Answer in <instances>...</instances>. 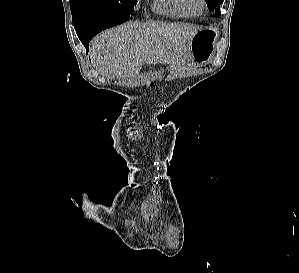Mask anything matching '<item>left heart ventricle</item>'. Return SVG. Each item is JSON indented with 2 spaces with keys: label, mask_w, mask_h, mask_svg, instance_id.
<instances>
[{
  "label": "left heart ventricle",
  "mask_w": 299,
  "mask_h": 273,
  "mask_svg": "<svg viewBox=\"0 0 299 273\" xmlns=\"http://www.w3.org/2000/svg\"><path fill=\"white\" fill-rule=\"evenodd\" d=\"M191 7L194 12H199L201 10V4L199 0H191Z\"/></svg>",
  "instance_id": "b2bd125f"
}]
</instances>
